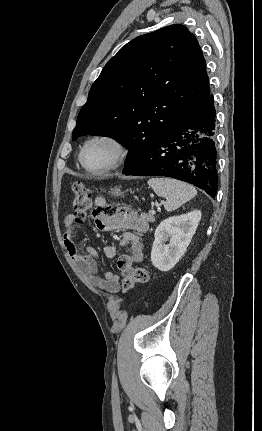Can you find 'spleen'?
I'll list each match as a JSON object with an SVG mask.
<instances>
[{
  "instance_id": "obj_1",
  "label": "spleen",
  "mask_w": 262,
  "mask_h": 431,
  "mask_svg": "<svg viewBox=\"0 0 262 431\" xmlns=\"http://www.w3.org/2000/svg\"><path fill=\"white\" fill-rule=\"evenodd\" d=\"M148 185L158 196L166 198L164 207L167 212L176 210L197 195L193 186L176 179L153 177L148 180Z\"/></svg>"
}]
</instances>
